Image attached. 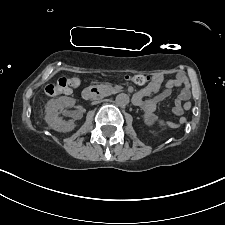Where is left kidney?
<instances>
[{
    "instance_id": "5707ae66",
    "label": "left kidney",
    "mask_w": 225,
    "mask_h": 225,
    "mask_svg": "<svg viewBox=\"0 0 225 225\" xmlns=\"http://www.w3.org/2000/svg\"><path fill=\"white\" fill-rule=\"evenodd\" d=\"M159 125L163 127V130L166 129L165 122L163 120H159Z\"/></svg>"
}]
</instances>
